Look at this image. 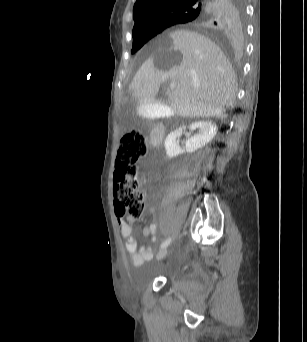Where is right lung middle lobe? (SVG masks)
I'll return each mask as SVG.
<instances>
[{"label":"right lung middle lobe","instance_id":"right-lung-middle-lobe-1","mask_svg":"<svg viewBox=\"0 0 307 342\" xmlns=\"http://www.w3.org/2000/svg\"><path fill=\"white\" fill-rule=\"evenodd\" d=\"M192 15V12H185L178 14L176 16L177 20H184L189 18ZM161 30L147 31L133 35V47L131 53L134 54L137 52L146 42H148L151 38L159 34Z\"/></svg>","mask_w":307,"mask_h":342}]
</instances>
